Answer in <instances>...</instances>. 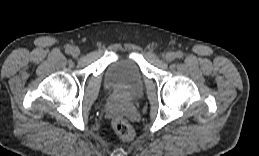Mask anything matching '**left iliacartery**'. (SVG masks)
<instances>
[{
	"label": "left iliac artery",
	"instance_id": "left-iliac-artery-1",
	"mask_svg": "<svg viewBox=\"0 0 259 156\" xmlns=\"http://www.w3.org/2000/svg\"><path fill=\"white\" fill-rule=\"evenodd\" d=\"M176 57L179 58V59L182 58L183 57V53L181 51H178L176 53Z\"/></svg>",
	"mask_w": 259,
	"mask_h": 156
}]
</instances>
